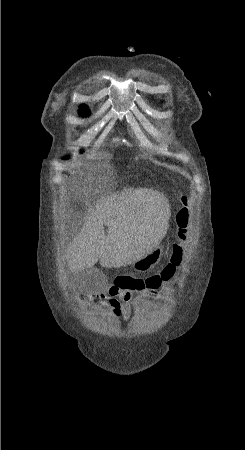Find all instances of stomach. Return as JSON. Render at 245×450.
Masks as SVG:
<instances>
[{
  "label": "stomach",
  "instance_id": "obj_1",
  "mask_svg": "<svg viewBox=\"0 0 245 450\" xmlns=\"http://www.w3.org/2000/svg\"><path fill=\"white\" fill-rule=\"evenodd\" d=\"M162 255L163 246L158 244L152 251L133 262L131 266L137 271H149L160 261Z\"/></svg>",
  "mask_w": 245,
  "mask_h": 450
}]
</instances>
